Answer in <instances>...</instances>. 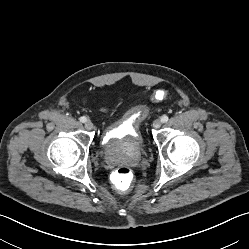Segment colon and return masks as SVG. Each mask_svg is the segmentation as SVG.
I'll return each mask as SVG.
<instances>
[{
	"label": "colon",
	"instance_id": "1",
	"mask_svg": "<svg viewBox=\"0 0 249 249\" xmlns=\"http://www.w3.org/2000/svg\"><path fill=\"white\" fill-rule=\"evenodd\" d=\"M165 89H158L154 93L152 100L161 101L166 97ZM134 179L133 171L127 166L118 167L112 174V183L119 191L127 190Z\"/></svg>",
	"mask_w": 249,
	"mask_h": 249
}]
</instances>
